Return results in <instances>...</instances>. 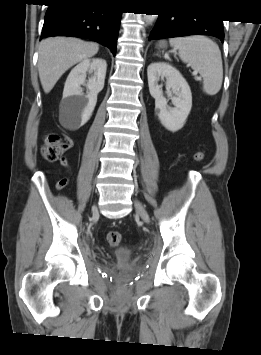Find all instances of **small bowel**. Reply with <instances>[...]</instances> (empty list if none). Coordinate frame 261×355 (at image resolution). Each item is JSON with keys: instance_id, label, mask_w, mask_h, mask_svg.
<instances>
[{"instance_id": "c3829d8e", "label": "small bowel", "mask_w": 261, "mask_h": 355, "mask_svg": "<svg viewBox=\"0 0 261 355\" xmlns=\"http://www.w3.org/2000/svg\"><path fill=\"white\" fill-rule=\"evenodd\" d=\"M61 164L63 165V166H68V161H67V159L66 158H62L61 159Z\"/></svg>"}]
</instances>
